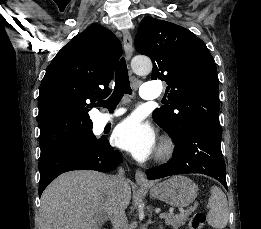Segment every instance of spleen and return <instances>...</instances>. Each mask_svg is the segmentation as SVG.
<instances>
[{
	"label": "spleen",
	"mask_w": 261,
	"mask_h": 229,
	"mask_svg": "<svg viewBox=\"0 0 261 229\" xmlns=\"http://www.w3.org/2000/svg\"><path fill=\"white\" fill-rule=\"evenodd\" d=\"M210 193L208 225H211L214 229H225L229 219L227 197L219 187H211Z\"/></svg>",
	"instance_id": "3e777b00"
}]
</instances>
